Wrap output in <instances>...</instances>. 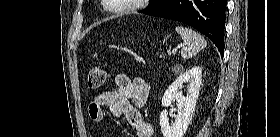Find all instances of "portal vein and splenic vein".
<instances>
[{"instance_id": "portal-vein-and-splenic-vein-1", "label": "portal vein and splenic vein", "mask_w": 280, "mask_h": 137, "mask_svg": "<svg viewBox=\"0 0 280 137\" xmlns=\"http://www.w3.org/2000/svg\"><path fill=\"white\" fill-rule=\"evenodd\" d=\"M177 51V49H174V50H172V51H168V55H172V53H175Z\"/></svg>"}]
</instances>
